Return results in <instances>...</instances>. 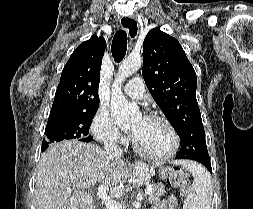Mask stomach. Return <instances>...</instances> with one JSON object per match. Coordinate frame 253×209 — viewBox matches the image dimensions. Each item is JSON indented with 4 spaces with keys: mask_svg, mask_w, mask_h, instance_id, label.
Returning a JSON list of instances; mask_svg holds the SVG:
<instances>
[{
    "mask_svg": "<svg viewBox=\"0 0 253 209\" xmlns=\"http://www.w3.org/2000/svg\"><path fill=\"white\" fill-rule=\"evenodd\" d=\"M159 177H160V179H169V174H168V172L167 171H159Z\"/></svg>",
    "mask_w": 253,
    "mask_h": 209,
    "instance_id": "obj_1",
    "label": "stomach"
}]
</instances>
